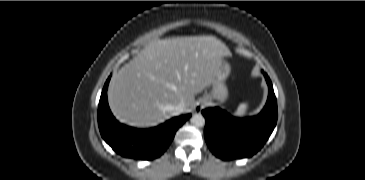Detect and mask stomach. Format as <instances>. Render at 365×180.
Segmentation results:
<instances>
[{
    "mask_svg": "<svg viewBox=\"0 0 365 180\" xmlns=\"http://www.w3.org/2000/svg\"><path fill=\"white\" fill-rule=\"evenodd\" d=\"M230 72V65L221 60L217 68L216 76L212 82V89L210 93L205 95V99H215L221 103L225 102L228 97V89L225 85V80L229 76Z\"/></svg>",
    "mask_w": 365,
    "mask_h": 180,
    "instance_id": "0dacf381",
    "label": "stomach"
}]
</instances>
